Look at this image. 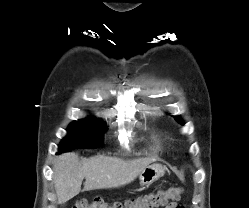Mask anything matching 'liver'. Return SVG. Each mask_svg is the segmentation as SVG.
<instances>
[{
    "instance_id": "liver-1",
    "label": "liver",
    "mask_w": 249,
    "mask_h": 208,
    "mask_svg": "<svg viewBox=\"0 0 249 208\" xmlns=\"http://www.w3.org/2000/svg\"><path fill=\"white\" fill-rule=\"evenodd\" d=\"M154 161V157L123 160L104 155L80 161L73 152L62 154L55 160L53 167L58 203H65L78 195L84 178L85 191L117 188L131 183Z\"/></svg>"
}]
</instances>
